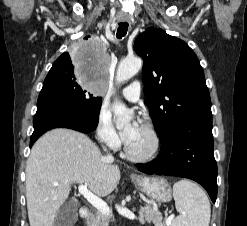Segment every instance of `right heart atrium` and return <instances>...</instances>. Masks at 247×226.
Masks as SVG:
<instances>
[{
  "label": "right heart atrium",
  "mask_w": 247,
  "mask_h": 226,
  "mask_svg": "<svg viewBox=\"0 0 247 226\" xmlns=\"http://www.w3.org/2000/svg\"><path fill=\"white\" fill-rule=\"evenodd\" d=\"M96 136L99 142L110 147L117 148L120 144L119 136L114 128L110 110L102 106L96 120Z\"/></svg>",
  "instance_id": "right-heart-atrium-1"
}]
</instances>
